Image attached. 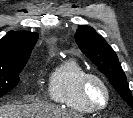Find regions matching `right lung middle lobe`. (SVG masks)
<instances>
[{"label":"right lung middle lobe","mask_w":133,"mask_h":118,"mask_svg":"<svg viewBox=\"0 0 133 118\" xmlns=\"http://www.w3.org/2000/svg\"><path fill=\"white\" fill-rule=\"evenodd\" d=\"M26 63L12 66H0V97L12 90L19 82V73Z\"/></svg>","instance_id":"1"}]
</instances>
